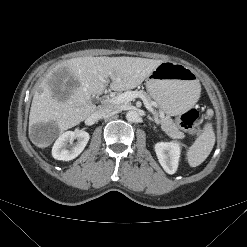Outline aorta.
Returning a JSON list of instances; mask_svg holds the SVG:
<instances>
[{
	"label": "aorta",
	"instance_id": "762f6f07",
	"mask_svg": "<svg viewBox=\"0 0 247 247\" xmlns=\"http://www.w3.org/2000/svg\"><path fill=\"white\" fill-rule=\"evenodd\" d=\"M126 119L129 122H137L139 119V114L136 110H130L126 113Z\"/></svg>",
	"mask_w": 247,
	"mask_h": 247
}]
</instances>
